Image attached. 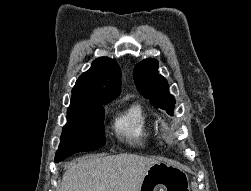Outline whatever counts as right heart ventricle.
<instances>
[{"instance_id": "e07e8e85", "label": "right heart ventricle", "mask_w": 251, "mask_h": 191, "mask_svg": "<svg viewBox=\"0 0 251 191\" xmlns=\"http://www.w3.org/2000/svg\"><path fill=\"white\" fill-rule=\"evenodd\" d=\"M113 130L116 138L132 149L152 151L158 146L151 117L140 102H132L115 118Z\"/></svg>"}]
</instances>
